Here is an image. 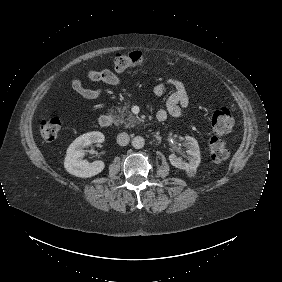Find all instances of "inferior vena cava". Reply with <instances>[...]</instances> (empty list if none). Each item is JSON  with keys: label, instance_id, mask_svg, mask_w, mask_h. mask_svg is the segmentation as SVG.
Here are the masks:
<instances>
[{"label": "inferior vena cava", "instance_id": "1", "mask_svg": "<svg viewBox=\"0 0 282 282\" xmlns=\"http://www.w3.org/2000/svg\"><path fill=\"white\" fill-rule=\"evenodd\" d=\"M117 143L120 146H126L129 143V135L125 132L119 133L117 135Z\"/></svg>", "mask_w": 282, "mask_h": 282}]
</instances>
